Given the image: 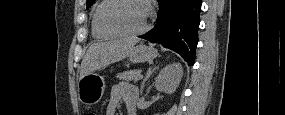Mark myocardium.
Masks as SVG:
<instances>
[{"instance_id":"f54148a6","label":"myocardium","mask_w":285,"mask_h":115,"mask_svg":"<svg viewBox=\"0 0 285 115\" xmlns=\"http://www.w3.org/2000/svg\"><path fill=\"white\" fill-rule=\"evenodd\" d=\"M123 1H139L142 4H144V6L146 7V12H147L146 22L145 25L140 30L134 32L126 31L120 28L119 26L111 23L107 19V10ZM150 17H151V7L148 1L146 0H105L100 6L98 11V22L104 29L125 37H135L144 34L150 27Z\"/></svg>"}]
</instances>
